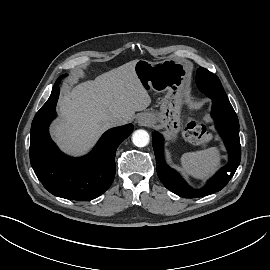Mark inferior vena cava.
<instances>
[{"instance_id": "obj_1", "label": "inferior vena cava", "mask_w": 270, "mask_h": 270, "mask_svg": "<svg viewBox=\"0 0 270 270\" xmlns=\"http://www.w3.org/2000/svg\"><path fill=\"white\" fill-rule=\"evenodd\" d=\"M109 122L111 126H119L125 124L126 120L121 116H114L110 118Z\"/></svg>"}]
</instances>
